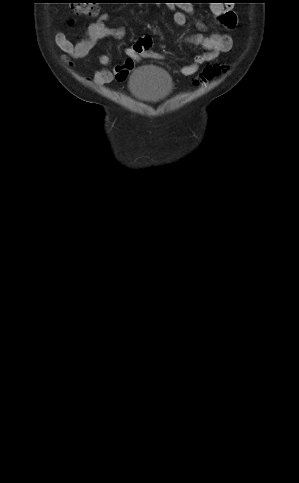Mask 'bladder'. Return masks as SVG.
I'll return each mask as SVG.
<instances>
[{
  "instance_id": "31cf9c89",
  "label": "bladder",
  "mask_w": 299,
  "mask_h": 483,
  "mask_svg": "<svg viewBox=\"0 0 299 483\" xmlns=\"http://www.w3.org/2000/svg\"><path fill=\"white\" fill-rule=\"evenodd\" d=\"M134 97L151 101L168 95L173 89L170 76L156 66H145L135 70L129 80Z\"/></svg>"
}]
</instances>
